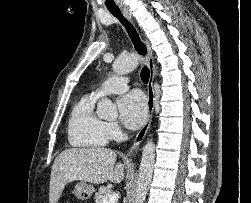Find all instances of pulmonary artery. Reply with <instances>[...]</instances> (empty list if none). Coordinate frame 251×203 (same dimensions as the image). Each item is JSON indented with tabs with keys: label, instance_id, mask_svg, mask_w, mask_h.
I'll return each instance as SVG.
<instances>
[{
	"label": "pulmonary artery",
	"instance_id": "obj_1",
	"mask_svg": "<svg viewBox=\"0 0 251 203\" xmlns=\"http://www.w3.org/2000/svg\"><path fill=\"white\" fill-rule=\"evenodd\" d=\"M128 89V78L117 75L104 81L91 95L99 98L111 93H121Z\"/></svg>",
	"mask_w": 251,
	"mask_h": 203
}]
</instances>
